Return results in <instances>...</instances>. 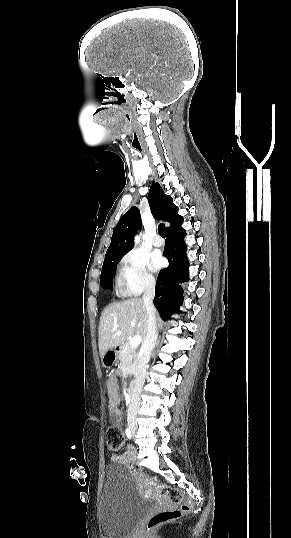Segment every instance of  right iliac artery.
<instances>
[{"label": "right iliac artery", "mask_w": 291, "mask_h": 538, "mask_svg": "<svg viewBox=\"0 0 291 538\" xmlns=\"http://www.w3.org/2000/svg\"><path fill=\"white\" fill-rule=\"evenodd\" d=\"M125 433H126L127 438H128V439H131V436H132V435H131V430H130V428H126Z\"/></svg>", "instance_id": "1"}]
</instances>
